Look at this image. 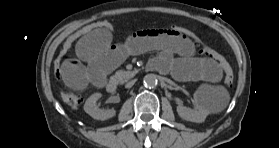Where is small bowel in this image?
Masks as SVG:
<instances>
[{"label": "small bowel", "mask_w": 279, "mask_h": 148, "mask_svg": "<svg viewBox=\"0 0 279 148\" xmlns=\"http://www.w3.org/2000/svg\"><path fill=\"white\" fill-rule=\"evenodd\" d=\"M150 50L159 51L150 65L161 72H171L178 80L218 82L222 77L219 64L198 57L188 40L162 29H145L134 32L121 43H112L111 33L104 30L83 36L76 44V56L63 62L61 78L76 90L101 86L106 75L125 59Z\"/></svg>", "instance_id": "c3829d8e"}]
</instances>
